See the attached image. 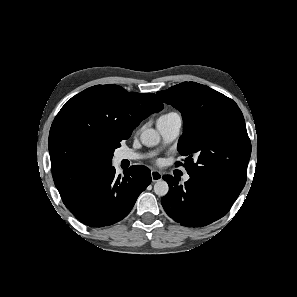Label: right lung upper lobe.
<instances>
[{"label":"right lung upper lobe","mask_w":297,"mask_h":297,"mask_svg":"<svg viewBox=\"0 0 297 297\" xmlns=\"http://www.w3.org/2000/svg\"><path fill=\"white\" fill-rule=\"evenodd\" d=\"M162 109L155 94L127 92L112 84L90 87L67 101L52 123L48 141L53 179L63 202L111 168L120 142Z\"/></svg>","instance_id":"right-lung-upper-lobe-1"}]
</instances>
